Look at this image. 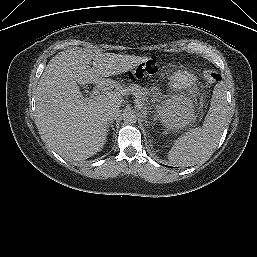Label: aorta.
I'll list each match as a JSON object with an SVG mask.
<instances>
[{
    "label": "aorta",
    "instance_id": "aorta-1",
    "mask_svg": "<svg viewBox=\"0 0 257 257\" xmlns=\"http://www.w3.org/2000/svg\"><path fill=\"white\" fill-rule=\"evenodd\" d=\"M123 121L127 125H133L137 121V116L132 109L126 110L123 113Z\"/></svg>",
    "mask_w": 257,
    "mask_h": 257
}]
</instances>
